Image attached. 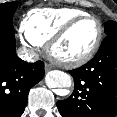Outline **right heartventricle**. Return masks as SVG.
<instances>
[{
    "mask_svg": "<svg viewBox=\"0 0 117 117\" xmlns=\"http://www.w3.org/2000/svg\"><path fill=\"white\" fill-rule=\"evenodd\" d=\"M87 15L76 8H44L31 11L23 22L26 38L35 45L46 43L71 19Z\"/></svg>",
    "mask_w": 117,
    "mask_h": 117,
    "instance_id": "obj_1",
    "label": "right heart ventricle"
}]
</instances>
